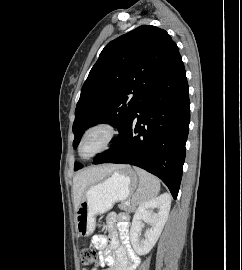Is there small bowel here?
I'll return each instance as SVG.
<instances>
[{"instance_id": "c3829d8e", "label": "small bowel", "mask_w": 242, "mask_h": 270, "mask_svg": "<svg viewBox=\"0 0 242 270\" xmlns=\"http://www.w3.org/2000/svg\"><path fill=\"white\" fill-rule=\"evenodd\" d=\"M129 219L126 213L108 214L107 236L95 235L92 238V245L100 251L101 265L106 270H136L140 264L129 242Z\"/></svg>"}]
</instances>
